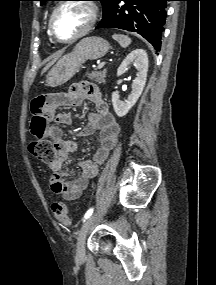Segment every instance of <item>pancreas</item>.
Returning a JSON list of instances; mask_svg holds the SVG:
<instances>
[{
    "instance_id": "1",
    "label": "pancreas",
    "mask_w": 216,
    "mask_h": 285,
    "mask_svg": "<svg viewBox=\"0 0 216 285\" xmlns=\"http://www.w3.org/2000/svg\"><path fill=\"white\" fill-rule=\"evenodd\" d=\"M106 73L107 70L104 69L102 71H92L91 73H87L86 75L90 80H93L98 84H103L105 83Z\"/></svg>"
}]
</instances>
